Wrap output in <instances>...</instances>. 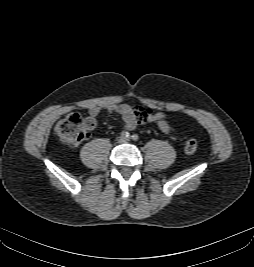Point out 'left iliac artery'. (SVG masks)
Returning <instances> with one entry per match:
<instances>
[{"mask_svg":"<svg viewBox=\"0 0 254 267\" xmlns=\"http://www.w3.org/2000/svg\"><path fill=\"white\" fill-rule=\"evenodd\" d=\"M131 139H132L133 141H137V140L139 139V136H138L137 134H133V135L131 136Z\"/></svg>","mask_w":254,"mask_h":267,"instance_id":"left-iliac-artery-1","label":"left iliac artery"}]
</instances>
